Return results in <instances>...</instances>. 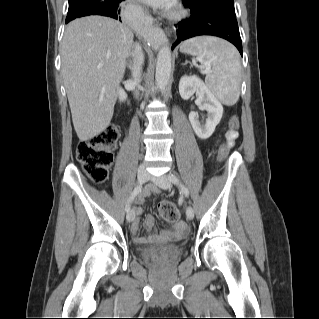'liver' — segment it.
I'll return each mask as SVG.
<instances>
[{
  "label": "liver",
  "instance_id": "1",
  "mask_svg": "<svg viewBox=\"0 0 319 319\" xmlns=\"http://www.w3.org/2000/svg\"><path fill=\"white\" fill-rule=\"evenodd\" d=\"M132 45V31L108 17L88 16L67 25L61 72L81 141L99 135L110 124Z\"/></svg>",
  "mask_w": 319,
  "mask_h": 319
}]
</instances>
